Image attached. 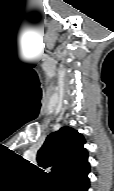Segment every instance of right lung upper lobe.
<instances>
[{
    "label": "right lung upper lobe",
    "instance_id": "right-lung-upper-lobe-1",
    "mask_svg": "<svg viewBox=\"0 0 114 191\" xmlns=\"http://www.w3.org/2000/svg\"><path fill=\"white\" fill-rule=\"evenodd\" d=\"M85 139L77 130L65 126L51 133L37 153L39 166H52L54 180L65 178L90 168Z\"/></svg>",
    "mask_w": 114,
    "mask_h": 191
}]
</instances>
